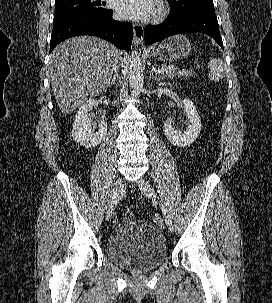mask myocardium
I'll use <instances>...</instances> for the list:
<instances>
[{"label":"myocardium","mask_w":272,"mask_h":303,"mask_svg":"<svg viewBox=\"0 0 272 303\" xmlns=\"http://www.w3.org/2000/svg\"><path fill=\"white\" fill-rule=\"evenodd\" d=\"M166 13V7H161L160 15H164Z\"/></svg>","instance_id":"myocardium-1"}]
</instances>
